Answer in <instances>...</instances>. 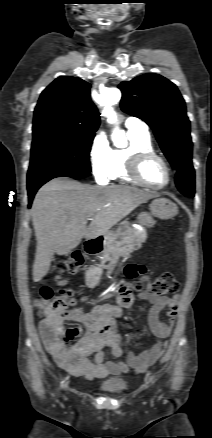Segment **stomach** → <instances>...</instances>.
I'll list each match as a JSON object with an SVG mask.
<instances>
[{"mask_svg": "<svg viewBox=\"0 0 212 438\" xmlns=\"http://www.w3.org/2000/svg\"><path fill=\"white\" fill-rule=\"evenodd\" d=\"M150 212H142L138 216V221L146 227H153L155 224L154 218L162 220L171 219L178 213V207L166 198H157L150 204ZM128 222L123 221L119 224L116 232L108 233L105 239L108 243H113L119 237H124L129 231Z\"/></svg>", "mask_w": 212, "mask_h": 438, "instance_id": "0dacf381", "label": "stomach"}]
</instances>
